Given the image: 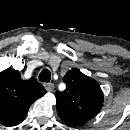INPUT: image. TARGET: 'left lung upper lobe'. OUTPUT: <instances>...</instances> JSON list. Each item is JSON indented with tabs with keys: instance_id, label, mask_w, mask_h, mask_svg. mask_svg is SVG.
<instances>
[{
	"instance_id": "1",
	"label": "left lung upper lobe",
	"mask_w": 130,
	"mask_h": 130,
	"mask_svg": "<svg viewBox=\"0 0 130 130\" xmlns=\"http://www.w3.org/2000/svg\"><path fill=\"white\" fill-rule=\"evenodd\" d=\"M63 80L66 89L55 94L59 117L79 123H85L95 117L104 99L97 81L77 69L69 70Z\"/></svg>"
}]
</instances>
